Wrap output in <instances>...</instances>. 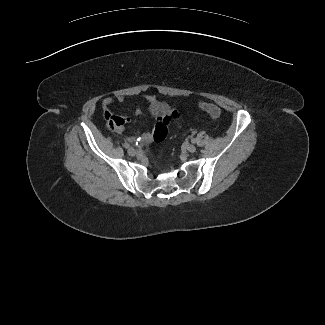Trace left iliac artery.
Listing matches in <instances>:
<instances>
[{
  "mask_svg": "<svg viewBox=\"0 0 325 325\" xmlns=\"http://www.w3.org/2000/svg\"><path fill=\"white\" fill-rule=\"evenodd\" d=\"M191 142H192V143H195V142H196V140L193 138V139H191Z\"/></svg>",
  "mask_w": 325,
  "mask_h": 325,
  "instance_id": "left-iliac-artery-1",
  "label": "left iliac artery"
}]
</instances>
